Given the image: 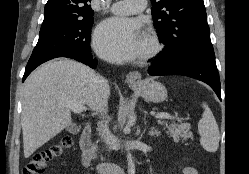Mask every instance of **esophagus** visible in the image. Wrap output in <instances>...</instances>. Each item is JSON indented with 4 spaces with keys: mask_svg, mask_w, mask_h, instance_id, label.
<instances>
[{
    "mask_svg": "<svg viewBox=\"0 0 249 174\" xmlns=\"http://www.w3.org/2000/svg\"><path fill=\"white\" fill-rule=\"evenodd\" d=\"M126 81L129 85H138L141 82V74L138 71L129 72Z\"/></svg>",
    "mask_w": 249,
    "mask_h": 174,
    "instance_id": "34e87169",
    "label": "esophagus"
}]
</instances>
